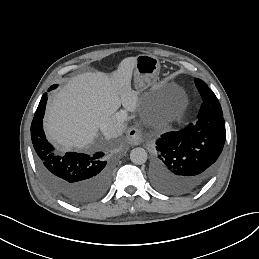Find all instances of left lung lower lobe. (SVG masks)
<instances>
[{
    "label": "left lung lower lobe",
    "instance_id": "1",
    "mask_svg": "<svg viewBox=\"0 0 259 259\" xmlns=\"http://www.w3.org/2000/svg\"><path fill=\"white\" fill-rule=\"evenodd\" d=\"M199 92L203 104L196 124L167 132L156 141L150 179L161 192H194L218 167L226 138L222 108L213 91Z\"/></svg>",
    "mask_w": 259,
    "mask_h": 259
}]
</instances>
